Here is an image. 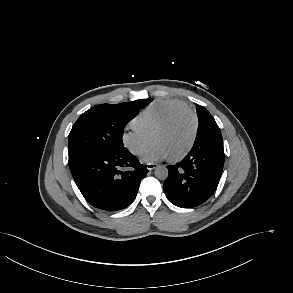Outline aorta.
I'll return each instance as SVG.
<instances>
[{
  "label": "aorta",
  "instance_id": "aorta-1",
  "mask_svg": "<svg viewBox=\"0 0 293 293\" xmlns=\"http://www.w3.org/2000/svg\"><path fill=\"white\" fill-rule=\"evenodd\" d=\"M168 174V169L165 166L160 165L155 168V176L160 180H165Z\"/></svg>",
  "mask_w": 293,
  "mask_h": 293
}]
</instances>
